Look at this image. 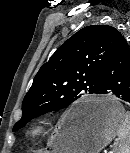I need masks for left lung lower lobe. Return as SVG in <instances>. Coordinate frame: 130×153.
<instances>
[{"label":"left lung lower lobe","mask_w":130,"mask_h":153,"mask_svg":"<svg viewBox=\"0 0 130 153\" xmlns=\"http://www.w3.org/2000/svg\"><path fill=\"white\" fill-rule=\"evenodd\" d=\"M97 94H113L130 103V48L124 37L103 69ZM92 112L90 108H80L76 110L75 117L84 119Z\"/></svg>","instance_id":"1"}]
</instances>
